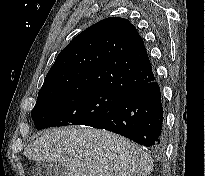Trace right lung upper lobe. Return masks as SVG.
<instances>
[{
  "label": "right lung upper lobe",
  "instance_id": "1",
  "mask_svg": "<svg viewBox=\"0 0 205 176\" xmlns=\"http://www.w3.org/2000/svg\"><path fill=\"white\" fill-rule=\"evenodd\" d=\"M153 79L135 26L124 18L110 17L78 34L59 53L38 96L96 88L125 95Z\"/></svg>",
  "mask_w": 205,
  "mask_h": 176
}]
</instances>
